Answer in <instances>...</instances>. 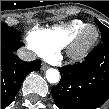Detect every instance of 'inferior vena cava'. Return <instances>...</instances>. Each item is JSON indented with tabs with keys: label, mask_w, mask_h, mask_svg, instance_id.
I'll return each instance as SVG.
<instances>
[{
	"label": "inferior vena cava",
	"mask_w": 109,
	"mask_h": 109,
	"mask_svg": "<svg viewBox=\"0 0 109 109\" xmlns=\"http://www.w3.org/2000/svg\"><path fill=\"white\" fill-rule=\"evenodd\" d=\"M17 56L21 60L28 61V62L34 61L37 58L35 53H33L32 51H30L24 47H21L18 49Z\"/></svg>",
	"instance_id": "1"
}]
</instances>
